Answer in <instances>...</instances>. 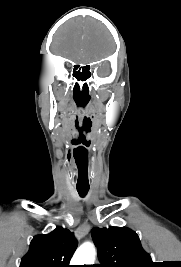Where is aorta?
Here are the masks:
<instances>
[{
    "instance_id": "1",
    "label": "aorta",
    "mask_w": 181,
    "mask_h": 267,
    "mask_svg": "<svg viewBox=\"0 0 181 267\" xmlns=\"http://www.w3.org/2000/svg\"><path fill=\"white\" fill-rule=\"evenodd\" d=\"M96 250L91 242L83 243L75 252L71 263L73 265H91L95 261Z\"/></svg>"
}]
</instances>
